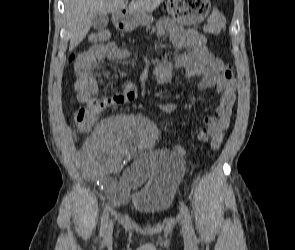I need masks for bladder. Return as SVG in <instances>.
<instances>
[{
    "label": "bladder",
    "instance_id": "bladder-1",
    "mask_svg": "<svg viewBox=\"0 0 295 250\" xmlns=\"http://www.w3.org/2000/svg\"><path fill=\"white\" fill-rule=\"evenodd\" d=\"M147 166L151 179L135 190L131 206L149 216L167 211L184 172V161L170 150H157Z\"/></svg>",
    "mask_w": 295,
    "mask_h": 250
}]
</instances>
